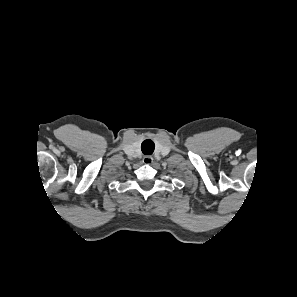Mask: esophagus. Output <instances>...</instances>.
<instances>
[{
	"label": "esophagus",
	"mask_w": 297,
	"mask_h": 297,
	"mask_svg": "<svg viewBox=\"0 0 297 297\" xmlns=\"http://www.w3.org/2000/svg\"><path fill=\"white\" fill-rule=\"evenodd\" d=\"M142 161L144 164L149 165L153 163V158L151 156H144Z\"/></svg>",
	"instance_id": "obj_1"
}]
</instances>
